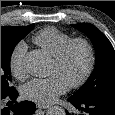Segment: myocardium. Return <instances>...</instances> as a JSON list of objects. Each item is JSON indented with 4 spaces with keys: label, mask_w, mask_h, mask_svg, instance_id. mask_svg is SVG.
I'll use <instances>...</instances> for the list:
<instances>
[{
    "label": "myocardium",
    "mask_w": 115,
    "mask_h": 115,
    "mask_svg": "<svg viewBox=\"0 0 115 115\" xmlns=\"http://www.w3.org/2000/svg\"><path fill=\"white\" fill-rule=\"evenodd\" d=\"M76 46H82L85 48L87 52L88 62H87V67L83 75L78 80L67 84L68 87L73 88V89L83 86L88 81V79L90 78V76L92 75L94 71L95 64H96V53H95V48L93 44L86 38H73L61 49L59 54L56 57H54V60H53V62L58 67H62L66 63L71 51Z\"/></svg>",
    "instance_id": "obj_1"
}]
</instances>
